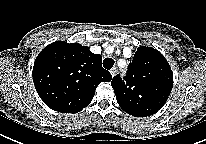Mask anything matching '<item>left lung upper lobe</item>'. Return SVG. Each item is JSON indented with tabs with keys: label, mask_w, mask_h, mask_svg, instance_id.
Returning a JSON list of instances; mask_svg holds the SVG:
<instances>
[{
	"label": "left lung upper lobe",
	"mask_w": 206,
	"mask_h": 144,
	"mask_svg": "<svg viewBox=\"0 0 206 144\" xmlns=\"http://www.w3.org/2000/svg\"><path fill=\"white\" fill-rule=\"evenodd\" d=\"M115 76L111 85L120 107L133 116L156 113L166 103L173 87V73L156 49L141 46L128 65L127 76Z\"/></svg>",
	"instance_id": "left-lung-upper-lobe-1"
}]
</instances>
